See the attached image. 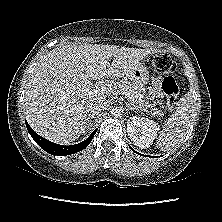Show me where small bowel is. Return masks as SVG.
Returning <instances> with one entry per match:
<instances>
[{
  "label": "small bowel",
  "instance_id": "1",
  "mask_svg": "<svg viewBox=\"0 0 222 222\" xmlns=\"http://www.w3.org/2000/svg\"><path fill=\"white\" fill-rule=\"evenodd\" d=\"M151 95L154 97L160 96L159 82H155L153 88L151 89Z\"/></svg>",
  "mask_w": 222,
  "mask_h": 222
}]
</instances>
